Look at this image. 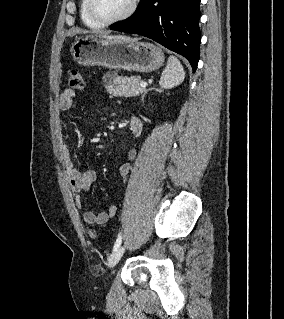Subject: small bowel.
<instances>
[{"instance_id":"obj_1","label":"small bowel","mask_w":284,"mask_h":319,"mask_svg":"<svg viewBox=\"0 0 284 319\" xmlns=\"http://www.w3.org/2000/svg\"><path fill=\"white\" fill-rule=\"evenodd\" d=\"M74 100L75 92L72 89H65L60 95L57 105L58 109L61 111H67L71 109V107L74 104ZM130 128L135 135H139L143 130V123L138 117L133 116L130 122ZM64 152L67 177L69 179L71 189L74 193L75 204L78 209L82 210L83 193L89 190L92 184L94 183L96 179V172L90 167H86L84 171H80L72 163L67 148L64 149ZM136 154L137 153L135 149H132L129 152L130 161H133L135 159ZM119 173L123 180H126L131 173V164H122L120 166ZM116 210L117 208L115 205H111L107 208V210L97 213L90 210H84L83 219L87 224L101 225L106 223L113 216H115Z\"/></svg>"}]
</instances>
